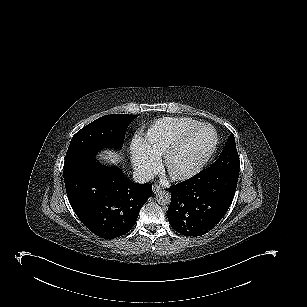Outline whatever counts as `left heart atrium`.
Segmentation results:
<instances>
[{
    "label": "left heart atrium",
    "instance_id": "39dd6f15",
    "mask_svg": "<svg viewBox=\"0 0 307 307\" xmlns=\"http://www.w3.org/2000/svg\"><path fill=\"white\" fill-rule=\"evenodd\" d=\"M172 178H173V177H172ZM173 179L175 180V178H173ZM163 184H166V185L169 184V180L165 179L164 182H163Z\"/></svg>",
    "mask_w": 307,
    "mask_h": 307
}]
</instances>
